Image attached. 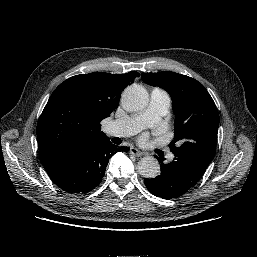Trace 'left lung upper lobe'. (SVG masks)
Masks as SVG:
<instances>
[{"label": "left lung upper lobe", "instance_id": "5c2ea615", "mask_svg": "<svg viewBox=\"0 0 257 257\" xmlns=\"http://www.w3.org/2000/svg\"><path fill=\"white\" fill-rule=\"evenodd\" d=\"M141 77L145 83L159 86L171 96L175 113V139L170 144L171 151H187L212 161L219 114L205 87L191 77L170 71L142 73ZM176 142L179 146H175Z\"/></svg>", "mask_w": 257, "mask_h": 257}]
</instances>
